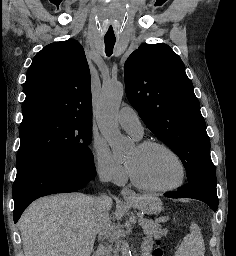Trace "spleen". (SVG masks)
I'll return each mask as SVG.
<instances>
[{"label": "spleen", "mask_w": 236, "mask_h": 256, "mask_svg": "<svg viewBox=\"0 0 236 256\" xmlns=\"http://www.w3.org/2000/svg\"><path fill=\"white\" fill-rule=\"evenodd\" d=\"M204 252L202 232L195 222H191L190 234L183 238L175 256H204Z\"/></svg>", "instance_id": "spleen-1"}]
</instances>
